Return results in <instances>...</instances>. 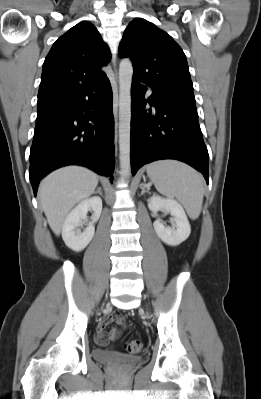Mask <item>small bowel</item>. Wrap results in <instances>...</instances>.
Returning a JSON list of instances; mask_svg holds the SVG:
<instances>
[{
  "label": "small bowel",
  "instance_id": "c3829d8e",
  "mask_svg": "<svg viewBox=\"0 0 261 399\" xmlns=\"http://www.w3.org/2000/svg\"><path fill=\"white\" fill-rule=\"evenodd\" d=\"M112 323H118L122 326L125 325V320L123 318V316L118 313V312H114L112 314H110L109 316H107L97 327L96 330V342L101 345V346H106L109 344L110 341H114L116 340L119 335H120V331L115 329V328H111V329H107L108 326Z\"/></svg>",
  "mask_w": 261,
  "mask_h": 399
}]
</instances>
